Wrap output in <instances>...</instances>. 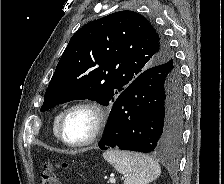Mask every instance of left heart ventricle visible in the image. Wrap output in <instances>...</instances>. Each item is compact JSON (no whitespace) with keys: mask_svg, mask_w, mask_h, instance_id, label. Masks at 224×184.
Masks as SVG:
<instances>
[{"mask_svg":"<svg viewBox=\"0 0 224 184\" xmlns=\"http://www.w3.org/2000/svg\"><path fill=\"white\" fill-rule=\"evenodd\" d=\"M95 124V115L88 109L72 111L64 122L63 133L71 142H81L92 133Z\"/></svg>","mask_w":224,"mask_h":184,"instance_id":"left-heart-ventricle-1","label":"left heart ventricle"}]
</instances>
